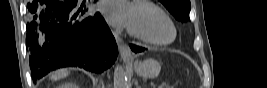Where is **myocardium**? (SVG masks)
Here are the masks:
<instances>
[{
  "mask_svg": "<svg viewBox=\"0 0 267 88\" xmlns=\"http://www.w3.org/2000/svg\"><path fill=\"white\" fill-rule=\"evenodd\" d=\"M133 5L145 6L147 8H151V9L157 11L160 15H162L163 17H165L168 20V22L170 23V25L172 27L173 35L169 40H166V41H154V40L148 39V38L136 33L135 31H133L130 28H128L127 31L132 37H134V38H136V39H138L144 43L154 45V46H166V45L172 44L176 40L177 29H176L175 23L173 22V20L170 18V16L165 11H163L161 8H159L155 4L148 2V1H144V0L134 1Z\"/></svg>",
  "mask_w": 267,
  "mask_h": 88,
  "instance_id": "f54148a6",
  "label": "myocardium"
}]
</instances>
